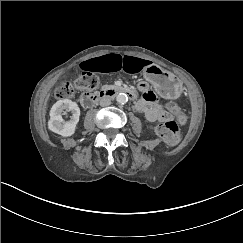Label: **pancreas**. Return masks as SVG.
Instances as JSON below:
<instances>
[{
    "instance_id": "1",
    "label": "pancreas",
    "mask_w": 243,
    "mask_h": 243,
    "mask_svg": "<svg viewBox=\"0 0 243 243\" xmlns=\"http://www.w3.org/2000/svg\"><path fill=\"white\" fill-rule=\"evenodd\" d=\"M102 88L108 89V88H115V85H108V84H104L102 86Z\"/></svg>"
}]
</instances>
